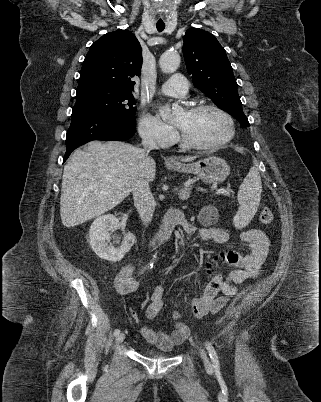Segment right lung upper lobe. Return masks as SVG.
I'll use <instances>...</instances> for the list:
<instances>
[{"instance_id": "right-lung-upper-lobe-1", "label": "right lung upper lobe", "mask_w": 321, "mask_h": 402, "mask_svg": "<svg viewBox=\"0 0 321 402\" xmlns=\"http://www.w3.org/2000/svg\"><path fill=\"white\" fill-rule=\"evenodd\" d=\"M142 66L141 46L128 30H117L94 42L82 65L79 85H99L133 92Z\"/></svg>"}]
</instances>
